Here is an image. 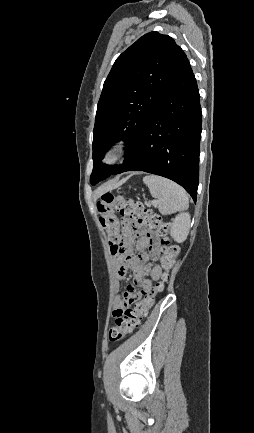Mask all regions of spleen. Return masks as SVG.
Listing matches in <instances>:
<instances>
[{"mask_svg": "<svg viewBox=\"0 0 254 433\" xmlns=\"http://www.w3.org/2000/svg\"><path fill=\"white\" fill-rule=\"evenodd\" d=\"M143 182L149 188L151 195L157 198L161 214L169 215L188 208V196L175 182L156 175L145 176Z\"/></svg>", "mask_w": 254, "mask_h": 433, "instance_id": "3e777b00", "label": "spleen"}]
</instances>
